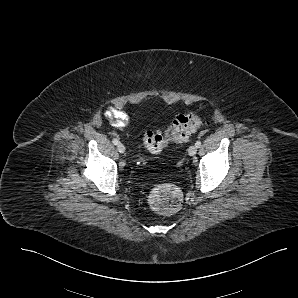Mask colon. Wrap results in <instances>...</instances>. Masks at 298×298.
Returning a JSON list of instances; mask_svg holds the SVG:
<instances>
[{"instance_id":"colon-1","label":"colon","mask_w":298,"mask_h":298,"mask_svg":"<svg viewBox=\"0 0 298 298\" xmlns=\"http://www.w3.org/2000/svg\"><path fill=\"white\" fill-rule=\"evenodd\" d=\"M201 125V118L194 113L178 114L166 130L162 132L147 131L143 144L150 152L157 154L170 143L187 140ZM148 201L156 213L173 214L180 209L183 194L176 185L162 183L150 190Z\"/></svg>"}]
</instances>
